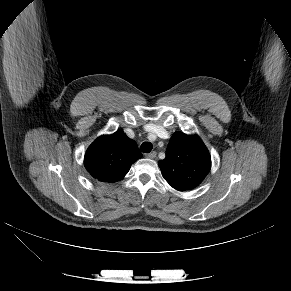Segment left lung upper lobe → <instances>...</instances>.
Segmentation results:
<instances>
[{
  "mask_svg": "<svg viewBox=\"0 0 291 291\" xmlns=\"http://www.w3.org/2000/svg\"><path fill=\"white\" fill-rule=\"evenodd\" d=\"M158 165L164 179L176 190H191L197 187L211 169L210 154L197 135L173 134L166 158Z\"/></svg>",
  "mask_w": 291,
  "mask_h": 291,
  "instance_id": "5c2ea615",
  "label": "left lung upper lobe"
}]
</instances>
